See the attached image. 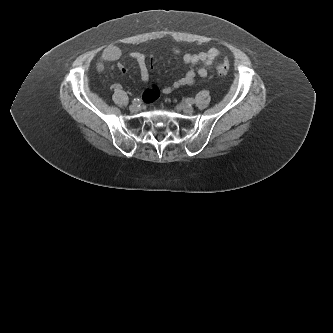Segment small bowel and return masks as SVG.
Instances as JSON below:
<instances>
[{
	"label": "small bowel",
	"instance_id": "small-bowel-1",
	"mask_svg": "<svg viewBox=\"0 0 333 333\" xmlns=\"http://www.w3.org/2000/svg\"><path fill=\"white\" fill-rule=\"evenodd\" d=\"M174 53L181 54L178 49H175ZM121 55L122 51L118 46L110 45L103 50L102 60L106 62H117L121 58ZM218 56L219 51L216 48H211L197 54L184 53L182 55L183 62L189 66L185 75L162 89L155 84L152 85L149 90L144 92L143 102L146 105H151L154 101H157L160 98V92L169 94L180 87L194 85L197 77H207L209 70L212 68ZM130 57L137 63L141 79L144 82H148L150 79V73L146 56L141 52L134 51L130 53ZM119 69L121 73H125L126 71L121 65H119ZM120 88L121 86L118 83L111 85L112 91H118Z\"/></svg>",
	"mask_w": 333,
	"mask_h": 333
}]
</instances>
